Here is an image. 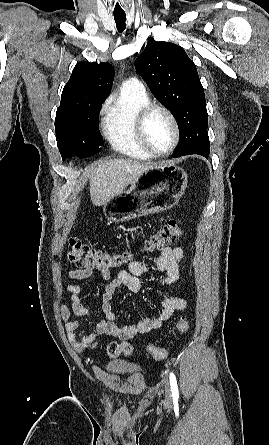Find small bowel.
Returning a JSON list of instances; mask_svg holds the SVG:
<instances>
[{"mask_svg":"<svg viewBox=\"0 0 269 445\" xmlns=\"http://www.w3.org/2000/svg\"><path fill=\"white\" fill-rule=\"evenodd\" d=\"M183 254L184 252L181 247H166L162 250L154 265L148 266L141 262L131 260L113 279H111L109 271H100V279L106 282L101 306L103 317L96 321L94 330H89L86 334L78 333V330L82 328L80 322L70 320L71 313L80 317L92 316L91 311L81 298L86 292V289L82 285L69 284L67 291L71 298V308L63 305L61 308V316L65 323L67 338L73 348L77 352L96 348L97 335L115 336L126 340L139 334L148 333L160 328L175 312L184 310L187 306L184 298L178 296L165 297L159 303V313L140 318L132 324H122L117 321L111 305L112 299L118 289L124 287L132 293H137L143 286L141 278L150 273L162 275L164 286H170L176 283L180 277L179 262L183 258ZM67 274L71 279L83 280L91 277L93 270L70 269Z\"/></svg>","mask_w":269,"mask_h":445,"instance_id":"small-bowel-1","label":"small bowel"}]
</instances>
